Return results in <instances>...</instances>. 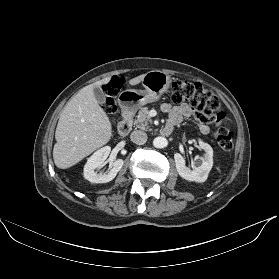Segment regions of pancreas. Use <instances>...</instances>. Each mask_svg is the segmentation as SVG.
Segmentation results:
<instances>
[{
  "label": "pancreas",
  "mask_w": 279,
  "mask_h": 279,
  "mask_svg": "<svg viewBox=\"0 0 279 279\" xmlns=\"http://www.w3.org/2000/svg\"><path fill=\"white\" fill-rule=\"evenodd\" d=\"M151 119L149 116V111L147 107H143L139 110L137 119L134 120V125L136 128L142 129V130H150L149 124L151 123Z\"/></svg>",
  "instance_id": "obj_1"
}]
</instances>
